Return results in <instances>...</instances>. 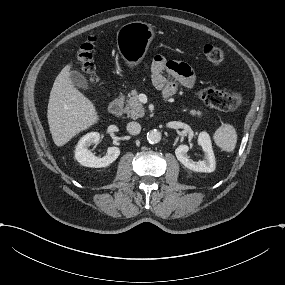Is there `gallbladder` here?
<instances>
[{
	"label": "gallbladder",
	"mask_w": 285,
	"mask_h": 285,
	"mask_svg": "<svg viewBox=\"0 0 285 285\" xmlns=\"http://www.w3.org/2000/svg\"><path fill=\"white\" fill-rule=\"evenodd\" d=\"M70 79L73 84L79 88H82L84 90L89 88L87 79L78 71H71Z\"/></svg>",
	"instance_id": "gallbladder-1"
}]
</instances>
